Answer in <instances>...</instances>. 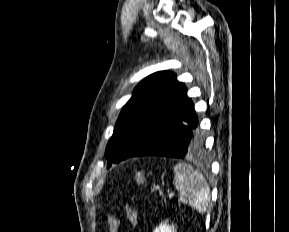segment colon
I'll return each mask as SVG.
<instances>
[{
    "label": "colon",
    "mask_w": 289,
    "mask_h": 232,
    "mask_svg": "<svg viewBox=\"0 0 289 232\" xmlns=\"http://www.w3.org/2000/svg\"><path fill=\"white\" fill-rule=\"evenodd\" d=\"M129 222L136 226L138 223V215L136 209L128 203L122 204ZM108 232H118L119 220L115 213L109 212L107 214Z\"/></svg>",
    "instance_id": "1"
}]
</instances>
